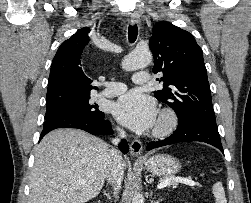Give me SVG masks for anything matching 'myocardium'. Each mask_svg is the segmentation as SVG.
I'll return each mask as SVG.
<instances>
[{
    "label": "myocardium",
    "instance_id": "obj_1",
    "mask_svg": "<svg viewBox=\"0 0 251 203\" xmlns=\"http://www.w3.org/2000/svg\"><path fill=\"white\" fill-rule=\"evenodd\" d=\"M178 123L176 113L172 109H164L160 112L153 129V136L165 137L171 134Z\"/></svg>",
    "mask_w": 251,
    "mask_h": 203
}]
</instances>
